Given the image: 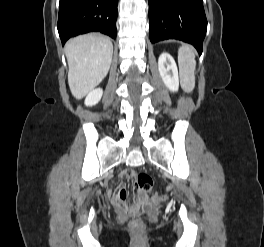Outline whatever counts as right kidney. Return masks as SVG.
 <instances>
[{
    "instance_id": "right-kidney-1",
    "label": "right kidney",
    "mask_w": 264,
    "mask_h": 247,
    "mask_svg": "<svg viewBox=\"0 0 264 247\" xmlns=\"http://www.w3.org/2000/svg\"><path fill=\"white\" fill-rule=\"evenodd\" d=\"M103 90L101 88H97L92 90L85 98L86 106L96 105L102 98Z\"/></svg>"
}]
</instances>
